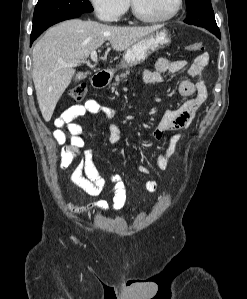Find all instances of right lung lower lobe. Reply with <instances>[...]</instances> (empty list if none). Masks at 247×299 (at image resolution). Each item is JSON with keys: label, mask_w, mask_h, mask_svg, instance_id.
Returning <instances> with one entry per match:
<instances>
[{"label": "right lung lower lobe", "mask_w": 247, "mask_h": 299, "mask_svg": "<svg viewBox=\"0 0 247 299\" xmlns=\"http://www.w3.org/2000/svg\"><path fill=\"white\" fill-rule=\"evenodd\" d=\"M81 14L80 13H76V14H71V15H69V16H67V17H65V18H62V19H60V20H58V21H56V22H54V23H52V24H50L48 27H50L51 25H53V24H55V23H58V22H60V21H63V20H67V19H71V18H75V17H78V16H80ZM48 27H46V28H44L43 30H41L40 32H38L37 34H35V35H31V44H32V42L44 31V30H46Z\"/></svg>", "instance_id": "right-lung-lower-lobe-1"}]
</instances>
